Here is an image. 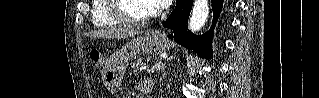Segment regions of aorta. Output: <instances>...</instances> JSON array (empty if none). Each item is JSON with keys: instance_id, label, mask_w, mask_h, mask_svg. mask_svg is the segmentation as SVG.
Returning <instances> with one entry per match:
<instances>
[{"instance_id": "obj_1", "label": "aorta", "mask_w": 319, "mask_h": 98, "mask_svg": "<svg viewBox=\"0 0 319 98\" xmlns=\"http://www.w3.org/2000/svg\"><path fill=\"white\" fill-rule=\"evenodd\" d=\"M209 14L208 0H195L193 11L189 20V29L192 32L199 31L205 24Z\"/></svg>"}]
</instances>
